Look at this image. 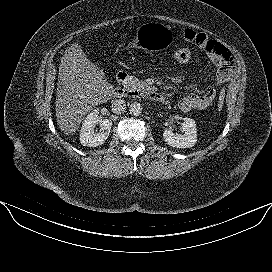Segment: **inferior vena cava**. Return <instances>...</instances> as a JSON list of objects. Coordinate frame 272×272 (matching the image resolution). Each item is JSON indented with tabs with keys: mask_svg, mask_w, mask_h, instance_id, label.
Segmentation results:
<instances>
[{
	"mask_svg": "<svg viewBox=\"0 0 272 272\" xmlns=\"http://www.w3.org/2000/svg\"><path fill=\"white\" fill-rule=\"evenodd\" d=\"M126 109V104L124 100L116 99L112 101V112L115 114H120Z\"/></svg>",
	"mask_w": 272,
	"mask_h": 272,
	"instance_id": "602c4592",
	"label": "inferior vena cava"
}]
</instances>
